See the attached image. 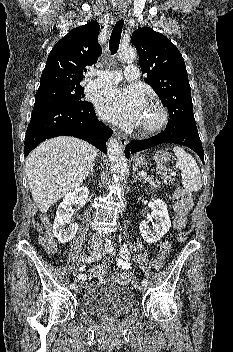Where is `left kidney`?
Here are the masks:
<instances>
[{
	"mask_svg": "<svg viewBox=\"0 0 233 352\" xmlns=\"http://www.w3.org/2000/svg\"><path fill=\"white\" fill-rule=\"evenodd\" d=\"M152 212L148 216L149 220H154L152 227L149 226V220H143L139 229L142 238L147 243H155L163 237L171 227L167 205L161 199L153 200L151 204Z\"/></svg>",
	"mask_w": 233,
	"mask_h": 352,
	"instance_id": "obj_1",
	"label": "left kidney"
}]
</instances>
